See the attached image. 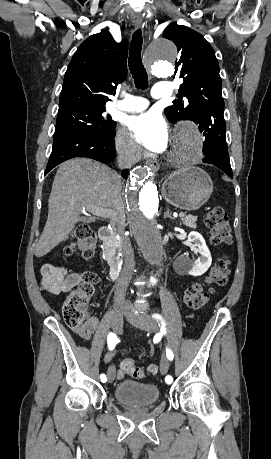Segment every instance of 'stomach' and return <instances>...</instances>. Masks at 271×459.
I'll list each match as a JSON object with an SVG mask.
<instances>
[{
  "instance_id": "1",
  "label": "stomach",
  "mask_w": 271,
  "mask_h": 459,
  "mask_svg": "<svg viewBox=\"0 0 271 459\" xmlns=\"http://www.w3.org/2000/svg\"><path fill=\"white\" fill-rule=\"evenodd\" d=\"M213 192V182L201 168H185L167 176L162 196L168 204L182 210H198Z\"/></svg>"
}]
</instances>
